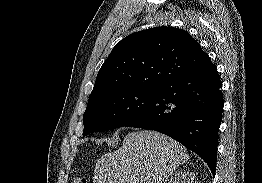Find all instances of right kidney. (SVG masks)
Listing matches in <instances>:
<instances>
[{
  "instance_id": "1",
  "label": "right kidney",
  "mask_w": 262,
  "mask_h": 183,
  "mask_svg": "<svg viewBox=\"0 0 262 183\" xmlns=\"http://www.w3.org/2000/svg\"><path fill=\"white\" fill-rule=\"evenodd\" d=\"M168 183H197L195 174L190 171L175 172Z\"/></svg>"
}]
</instances>
